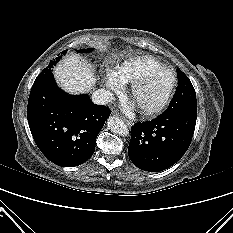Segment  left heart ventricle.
I'll return each mask as SVG.
<instances>
[{
	"mask_svg": "<svg viewBox=\"0 0 233 233\" xmlns=\"http://www.w3.org/2000/svg\"><path fill=\"white\" fill-rule=\"evenodd\" d=\"M170 84L169 75L157 72L140 89L137 104L148 106L156 103L166 92Z\"/></svg>",
	"mask_w": 233,
	"mask_h": 233,
	"instance_id": "b2bd125f",
	"label": "left heart ventricle"
}]
</instances>
